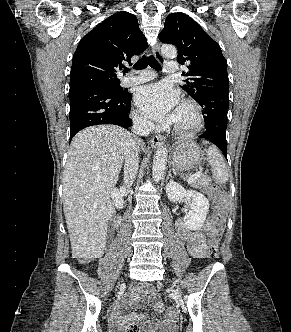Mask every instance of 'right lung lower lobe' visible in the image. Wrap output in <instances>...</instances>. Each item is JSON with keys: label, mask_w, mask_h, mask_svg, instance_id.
<instances>
[{"label": "right lung lower lobe", "mask_w": 291, "mask_h": 332, "mask_svg": "<svg viewBox=\"0 0 291 332\" xmlns=\"http://www.w3.org/2000/svg\"><path fill=\"white\" fill-rule=\"evenodd\" d=\"M70 140L80 130L99 124L125 128L129 118L132 95L117 96L106 85L93 84L70 90Z\"/></svg>", "instance_id": "1"}]
</instances>
